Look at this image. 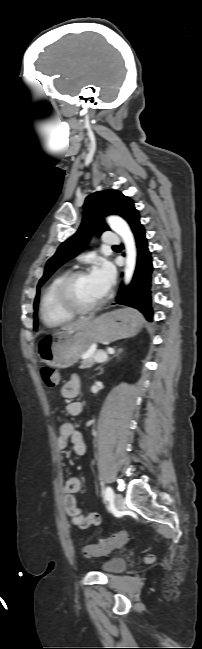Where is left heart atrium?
<instances>
[{
	"label": "left heart atrium",
	"mask_w": 202,
	"mask_h": 649,
	"mask_svg": "<svg viewBox=\"0 0 202 649\" xmlns=\"http://www.w3.org/2000/svg\"><path fill=\"white\" fill-rule=\"evenodd\" d=\"M89 277L98 289L106 294L114 283L115 269L109 261L100 258L94 262Z\"/></svg>",
	"instance_id": "obj_1"
}]
</instances>
